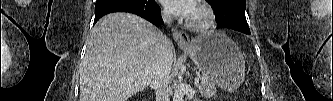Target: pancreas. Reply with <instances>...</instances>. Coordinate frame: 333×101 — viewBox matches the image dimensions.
<instances>
[{
    "label": "pancreas",
    "instance_id": "1",
    "mask_svg": "<svg viewBox=\"0 0 333 101\" xmlns=\"http://www.w3.org/2000/svg\"><path fill=\"white\" fill-rule=\"evenodd\" d=\"M215 83L208 77L203 76L198 86V91L202 97H212L215 94Z\"/></svg>",
    "mask_w": 333,
    "mask_h": 101
}]
</instances>
